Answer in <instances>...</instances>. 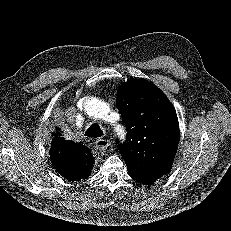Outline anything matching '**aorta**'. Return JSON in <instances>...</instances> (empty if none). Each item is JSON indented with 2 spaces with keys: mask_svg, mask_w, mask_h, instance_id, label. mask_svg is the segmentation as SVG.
<instances>
[{
  "mask_svg": "<svg viewBox=\"0 0 231 231\" xmlns=\"http://www.w3.org/2000/svg\"><path fill=\"white\" fill-rule=\"evenodd\" d=\"M81 106L88 115L109 121V107L105 102L95 97H86L81 101ZM116 132L119 137L123 138L125 135L124 129L120 125H117Z\"/></svg>",
  "mask_w": 231,
  "mask_h": 231,
  "instance_id": "obj_1",
  "label": "aorta"
}]
</instances>
